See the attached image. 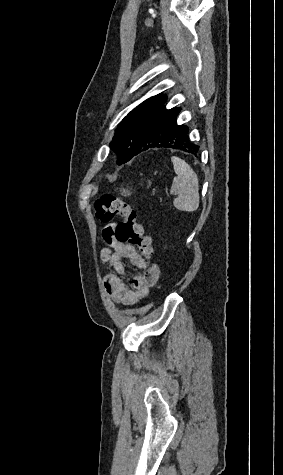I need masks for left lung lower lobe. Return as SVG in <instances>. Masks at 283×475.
Listing matches in <instances>:
<instances>
[{
  "label": "left lung lower lobe",
  "mask_w": 283,
  "mask_h": 475,
  "mask_svg": "<svg viewBox=\"0 0 283 475\" xmlns=\"http://www.w3.org/2000/svg\"><path fill=\"white\" fill-rule=\"evenodd\" d=\"M166 97L154 107L138 135H122L112 148L118 153V164L125 163L134 156L151 148H173L191 153H199V146L190 141L189 129L177 124L180 108L166 109Z\"/></svg>",
  "instance_id": "obj_1"
}]
</instances>
